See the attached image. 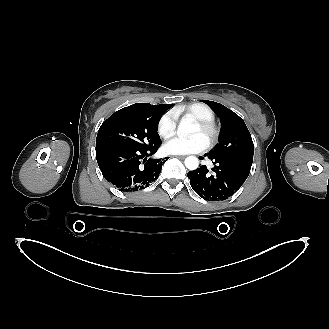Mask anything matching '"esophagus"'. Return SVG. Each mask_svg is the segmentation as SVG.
Here are the masks:
<instances>
[{"mask_svg":"<svg viewBox=\"0 0 329 329\" xmlns=\"http://www.w3.org/2000/svg\"><path fill=\"white\" fill-rule=\"evenodd\" d=\"M176 157H178V158H180V159H184V158H185V156H180V155H178V156H176Z\"/></svg>","mask_w":329,"mask_h":329,"instance_id":"1","label":"esophagus"}]
</instances>
